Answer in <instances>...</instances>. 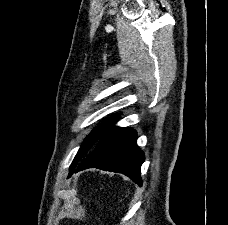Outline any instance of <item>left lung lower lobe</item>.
Returning <instances> with one entry per match:
<instances>
[{"label": "left lung lower lobe", "instance_id": "obj_1", "mask_svg": "<svg viewBox=\"0 0 228 225\" xmlns=\"http://www.w3.org/2000/svg\"><path fill=\"white\" fill-rule=\"evenodd\" d=\"M136 140L137 134L134 130L111 126L100 137L91 153L69 174V177L73 172L99 168L125 174L137 184L142 185L140 169L144 154L137 146Z\"/></svg>", "mask_w": 228, "mask_h": 225}]
</instances>
